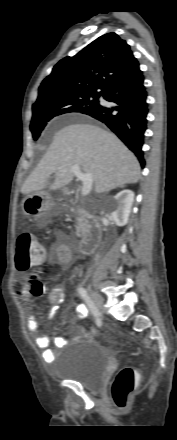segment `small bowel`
Masks as SVG:
<instances>
[{
  "label": "small bowel",
  "mask_w": 177,
  "mask_h": 440,
  "mask_svg": "<svg viewBox=\"0 0 177 440\" xmlns=\"http://www.w3.org/2000/svg\"><path fill=\"white\" fill-rule=\"evenodd\" d=\"M53 263L60 265H68L72 259L73 254L71 249L65 243H60L54 250L52 254ZM33 288V281L28 280L24 285L18 289L17 296L20 300L25 301L29 297L30 290ZM63 290L59 287L54 288L48 297L49 303L51 305H57L61 302L63 298ZM42 313V307H37L32 313L27 317V325L31 332L36 333V345L39 349L43 350V356L46 362H54L56 359V350L50 348V338L46 334L39 333L38 318ZM53 311L50 312V316L53 315ZM88 310L85 305H76V318L83 319L86 317ZM54 344L56 347L60 348L67 345V340L63 337H56L54 339Z\"/></svg>",
  "instance_id": "obj_1"
}]
</instances>
